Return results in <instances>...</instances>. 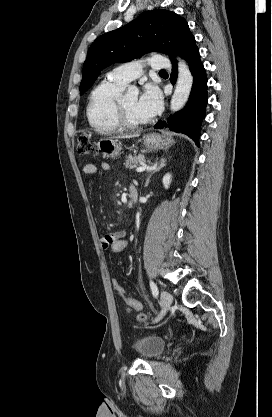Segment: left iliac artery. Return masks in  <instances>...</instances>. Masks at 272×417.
I'll use <instances>...</instances> for the list:
<instances>
[{
  "mask_svg": "<svg viewBox=\"0 0 272 417\" xmlns=\"http://www.w3.org/2000/svg\"><path fill=\"white\" fill-rule=\"evenodd\" d=\"M150 288H151V291H152L153 296L155 298H157L159 292H158V288H157L156 284L153 281H150Z\"/></svg>",
  "mask_w": 272,
  "mask_h": 417,
  "instance_id": "left-iliac-artery-1",
  "label": "left iliac artery"
}]
</instances>
